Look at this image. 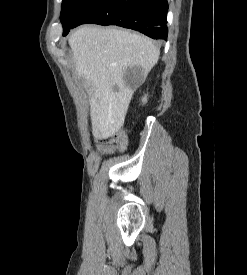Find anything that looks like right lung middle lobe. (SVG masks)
I'll use <instances>...</instances> for the list:
<instances>
[{"mask_svg": "<svg viewBox=\"0 0 247 275\" xmlns=\"http://www.w3.org/2000/svg\"><path fill=\"white\" fill-rule=\"evenodd\" d=\"M100 1L101 0H63L60 19L64 31L70 29L84 11Z\"/></svg>", "mask_w": 247, "mask_h": 275, "instance_id": "1", "label": "right lung middle lobe"}]
</instances>
